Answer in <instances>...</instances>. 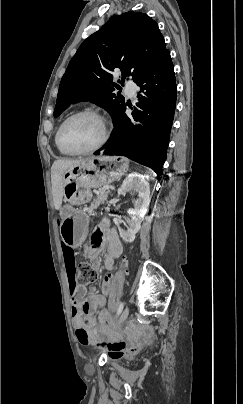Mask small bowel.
<instances>
[{
	"label": "small bowel",
	"instance_id": "c3829d8e",
	"mask_svg": "<svg viewBox=\"0 0 243 404\" xmlns=\"http://www.w3.org/2000/svg\"><path fill=\"white\" fill-rule=\"evenodd\" d=\"M62 253L69 283L71 314L76 337L84 345L96 343L100 335L108 330L111 322L110 312L106 309H101L98 316H94V311L104 306L106 298L97 294L86 295V289L76 281L74 250L68 245H64ZM121 253L122 244L117 233L109 221L101 222L86 247V255L91 264L95 268H99L103 262L106 269H112L115 260ZM102 254L104 255L103 260Z\"/></svg>",
	"mask_w": 243,
	"mask_h": 404
}]
</instances>
